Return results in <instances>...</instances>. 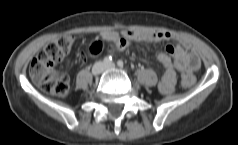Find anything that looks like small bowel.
I'll return each mask as SVG.
<instances>
[{
	"mask_svg": "<svg viewBox=\"0 0 238 145\" xmlns=\"http://www.w3.org/2000/svg\"><path fill=\"white\" fill-rule=\"evenodd\" d=\"M102 38L114 42L118 51L125 50L131 41L155 42V41H171L177 43L176 46L169 45L167 47L169 54L160 52L156 55L158 62L165 69L164 75L159 82V90L162 94H171L176 89L177 72L182 73V81L186 78L192 79L191 86L194 83L193 72L200 66L193 46L185 40L180 39L172 32H142V31H105L101 34ZM84 38L81 36L80 39ZM187 86V87H189Z\"/></svg>",
	"mask_w": 238,
	"mask_h": 145,
	"instance_id": "1",
	"label": "small bowel"
}]
</instances>
